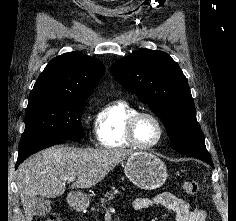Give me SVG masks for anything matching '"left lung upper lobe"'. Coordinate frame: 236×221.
<instances>
[{"label":"left lung upper lobe","instance_id":"obj_1","mask_svg":"<svg viewBox=\"0 0 236 221\" xmlns=\"http://www.w3.org/2000/svg\"><path fill=\"white\" fill-rule=\"evenodd\" d=\"M110 70L126 90L161 118L177 152L209 156L187 78L166 52L141 48L114 62Z\"/></svg>","mask_w":236,"mask_h":221}]
</instances>
